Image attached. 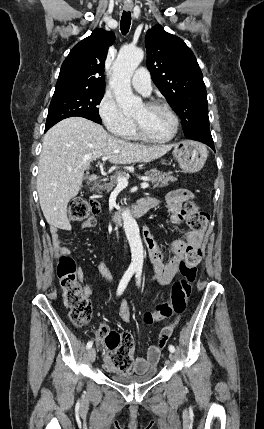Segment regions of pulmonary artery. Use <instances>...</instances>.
Instances as JSON below:
<instances>
[{
  "label": "pulmonary artery",
  "mask_w": 264,
  "mask_h": 429,
  "mask_svg": "<svg viewBox=\"0 0 264 429\" xmlns=\"http://www.w3.org/2000/svg\"><path fill=\"white\" fill-rule=\"evenodd\" d=\"M132 86L141 94L147 96L152 91V84L149 72L145 68H139L135 71L131 79Z\"/></svg>",
  "instance_id": "obj_1"
}]
</instances>
